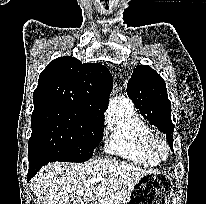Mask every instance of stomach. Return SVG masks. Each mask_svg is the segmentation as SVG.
<instances>
[{
	"instance_id": "1",
	"label": "stomach",
	"mask_w": 206,
	"mask_h": 204,
	"mask_svg": "<svg viewBox=\"0 0 206 204\" xmlns=\"http://www.w3.org/2000/svg\"><path fill=\"white\" fill-rule=\"evenodd\" d=\"M173 183L161 173L143 175L122 204H169Z\"/></svg>"
}]
</instances>
